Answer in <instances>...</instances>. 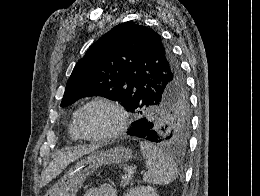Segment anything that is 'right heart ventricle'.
<instances>
[{"label":"right heart ventricle","mask_w":260,"mask_h":196,"mask_svg":"<svg viewBox=\"0 0 260 196\" xmlns=\"http://www.w3.org/2000/svg\"><path fill=\"white\" fill-rule=\"evenodd\" d=\"M73 119H74V116L72 118V122L69 126V134H70V137L73 141H79L81 138L79 136V133L77 132V130L75 129V126H74V123H73Z\"/></svg>","instance_id":"obj_1"}]
</instances>
